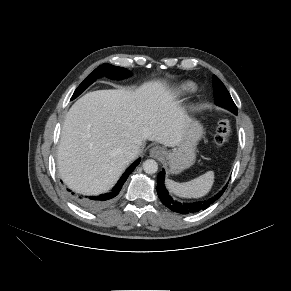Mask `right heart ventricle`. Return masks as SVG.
Instances as JSON below:
<instances>
[{
	"mask_svg": "<svg viewBox=\"0 0 291 291\" xmlns=\"http://www.w3.org/2000/svg\"><path fill=\"white\" fill-rule=\"evenodd\" d=\"M195 84L192 82H185L179 88L178 92L181 94L191 93L195 90Z\"/></svg>",
	"mask_w": 291,
	"mask_h": 291,
	"instance_id": "e07e8e85",
	"label": "right heart ventricle"
}]
</instances>
